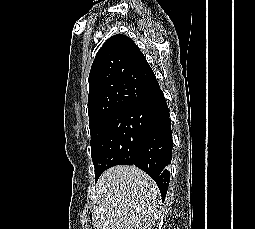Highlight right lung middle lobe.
I'll return each mask as SVG.
<instances>
[{
    "label": "right lung middle lobe",
    "mask_w": 255,
    "mask_h": 229,
    "mask_svg": "<svg viewBox=\"0 0 255 229\" xmlns=\"http://www.w3.org/2000/svg\"><path fill=\"white\" fill-rule=\"evenodd\" d=\"M144 133V121L124 109L101 123L91 134L95 182L108 168L130 164Z\"/></svg>",
    "instance_id": "1"
}]
</instances>
